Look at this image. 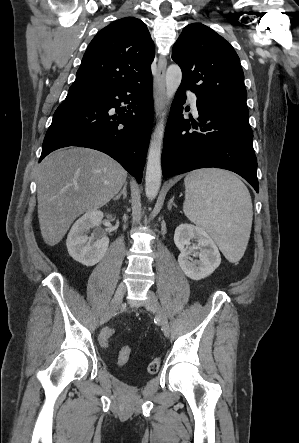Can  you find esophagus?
Returning <instances> with one entry per match:
<instances>
[{
	"label": "esophagus",
	"mask_w": 299,
	"mask_h": 443,
	"mask_svg": "<svg viewBox=\"0 0 299 443\" xmlns=\"http://www.w3.org/2000/svg\"><path fill=\"white\" fill-rule=\"evenodd\" d=\"M167 60L164 56H160L158 60V69L154 81V100L156 116L163 109L165 103V71Z\"/></svg>",
	"instance_id": "esophagus-1"
}]
</instances>
